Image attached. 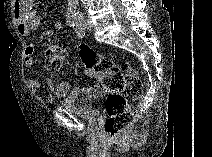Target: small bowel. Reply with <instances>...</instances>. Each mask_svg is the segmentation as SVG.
I'll use <instances>...</instances> for the list:
<instances>
[{
    "mask_svg": "<svg viewBox=\"0 0 212 157\" xmlns=\"http://www.w3.org/2000/svg\"><path fill=\"white\" fill-rule=\"evenodd\" d=\"M12 11L18 32L25 38L24 64L26 67H33L37 63V57L35 55L36 39L33 37V33L40 26V18L33 7V2L30 0H16L13 4ZM62 28V21L57 20L54 23V28L47 29L44 35L50 38L54 35L55 31H59ZM45 81L51 89V92L46 96L48 102H54L57 98L65 96L69 90V83L67 81H63L57 86L51 77H45ZM26 83L30 88H41V84L34 79L27 78Z\"/></svg>",
    "mask_w": 212,
    "mask_h": 157,
    "instance_id": "1",
    "label": "small bowel"
}]
</instances>
